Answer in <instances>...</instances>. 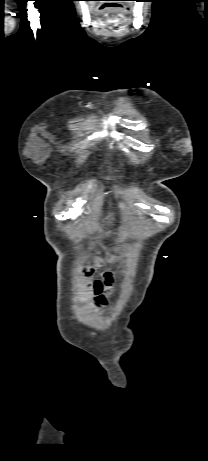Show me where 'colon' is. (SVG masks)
I'll return each instance as SVG.
<instances>
[{
	"label": "colon",
	"instance_id": "5ec220e1",
	"mask_svg": "<svg viewBox=\"0 0 208 461\" xmlns=\"http://www.w3.org/2000/svg\"><path fill=\"white\" fill-rule=\"evenodd\" d=\"M93 271H94L93 268H89L86 272L87 276L92 275ZM105 277L106 279H109V274H106ZM91 287L94 288L96 291H100L102 288V283L99 281H96Z\"/></svg>",
	"mask_w": 208,
	"mask_h": 461
}]
</instances>
